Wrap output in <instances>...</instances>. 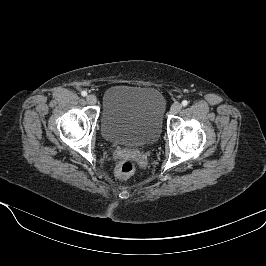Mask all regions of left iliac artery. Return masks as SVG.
<instances>
[{
  "label": "left iliac artery",
  "mask_w": 266,
  "mask_h": 266,
  "mask_svg": "<svg viewBox=\"0 0 266 266\" xmlns=\"http://www.w3.org/2000/svg\"><path fill=\"white\" fill-rule=\"evenodd\" d=\"M187 105H188V101H187V100H183V101H182V106L185 107V106H187Z\"/></svg>",
  "instance_id": "44dca946"
}]
</instances>
